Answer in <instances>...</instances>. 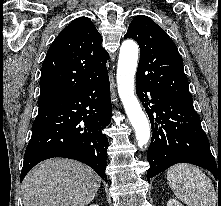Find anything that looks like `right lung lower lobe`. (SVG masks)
<instances>
[{
    "instance_id": "right-lung-lower-lobe-1",
    "label": "right lung lower lobe",
    "mask_w": 221,
    "mask_h": 206,
    "mask_svg": "<svg viewBox=\"0 0 221 206\" xmlns=\"http://www.w3.org/2000/svg\"><path fill=\"white\" fill-rule=\"evenodd\" d=\"M112 116L108 74L81 91L40 106L32 125L20 181L39 162L52 157L81 161L105 181L108 139L102 130Z\"/></svg>"
}]
</instances>
